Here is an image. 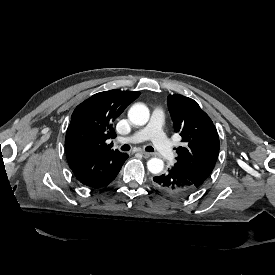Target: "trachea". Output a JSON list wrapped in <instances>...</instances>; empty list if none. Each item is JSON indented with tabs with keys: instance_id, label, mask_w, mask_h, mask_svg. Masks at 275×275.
I'll return each instance as SVG.
<instances>
[{
	"instance_id": "1",
	"label": "trachea",
	"mask_w": 275,
	"mask_h": 275,
	"mask_svg": "<svg viewBox=\"0 0 275 275\" xmlns=\"http://www.w3.org/2000/svg\"><path fill=\"white\" fill-rule=\"evenodd\" d=\"M121 149H122L123 151H129V150H130V146L127 145V144H125V145H123V146L121 147ZM146 151H148V152H153V151H154V148L151 147V146H148V147H146Z\"/></svg>"
}]
</instances>
